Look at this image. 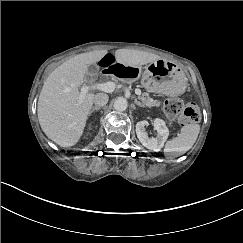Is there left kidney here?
<instances>
[{"label": "left kidney", "mask_w": 243, "mask_h": 243, "mask_svg": "<svg viewBox=\"0 0 243 243\" xmlns=\"http://www.w3.org/2000/svg\"><path fill=\"white\" fill-rule=\"evenodd\" d=\"M148 125L146 120L140 121L136 124V134L139 141L144 147L149 150L158 152L163 148L164 143L166 142L169 136V130L166 126L164 120L156 118L154 120V129L157 131V136L149 138L145 130V126Z\"/></svg>", "instance_id": "obj_1"}]
</instances>
